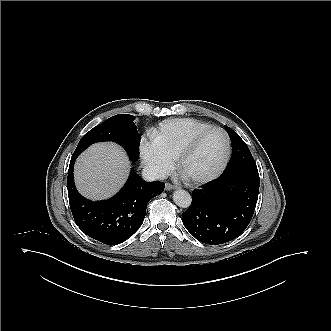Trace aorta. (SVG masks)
Here are the masks:
<instances>
[{"instance_id":"1","label":"aorta","mask_w":331,"mask_h":331,"mask_svg":"<svg viewBox=\"0 0 331 331\" xmlns=\"http://www.w3.org/2000/svg\"><path fill=\"white\" fill-rule=\"evenodd\" d=\"M173 201L181 208H188L191 205L192 197L187 191L178 189L173 193Z\"/></svg>"}]
</instances>
